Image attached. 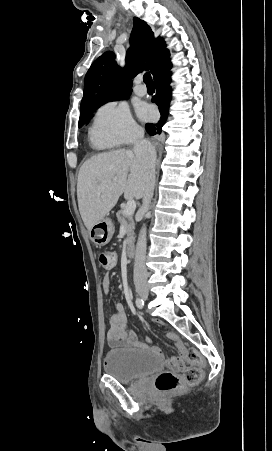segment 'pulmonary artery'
I'll return each mask as SVG.
<instances>
[{
	"label": "pulmonary artery",
	"instance_id": "e3ab8cb5",
	"mask_svg": "<svg viewBox=\"0 0 272 451\" xmlns=\"http://www.w3.org/2000/svg\"><path fill=\"white\" fill-rule=\"evenodd\" d=\"M144 90H145L144 85L138 84V85H136L134 92L136 95L143 97L146 94V92Z\"/></svg>",
	"mask_w": 272,
	"mask_h": 451
}]
</instances>
